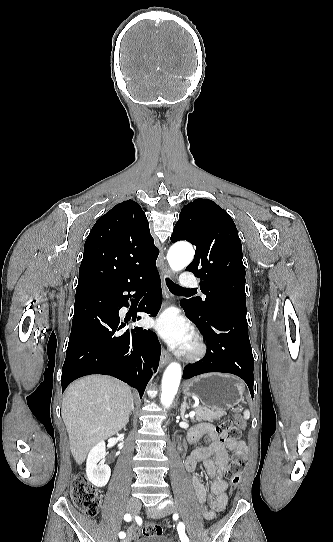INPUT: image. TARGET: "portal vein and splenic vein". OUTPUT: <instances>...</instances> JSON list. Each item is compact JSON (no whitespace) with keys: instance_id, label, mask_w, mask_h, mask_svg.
Segmentation results:
<instances>
[{"instance_id":"18ae733b","label":"portal vein and splenic vein","mask_w":333,"mask_h":542,"mask_svg":"<svg viewBox=\"0 0 333 542\" xmlns=\"http://www.w3.org/2000/svg\"><path fill=\"white\" fill-rule=\"evenodd\" d=\"M195 414H196V412H190V414H189L190 418H194Z\"/></svg>"}]
</instances>
